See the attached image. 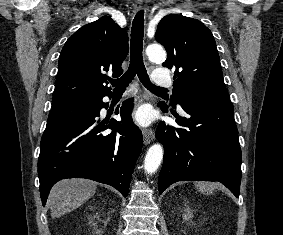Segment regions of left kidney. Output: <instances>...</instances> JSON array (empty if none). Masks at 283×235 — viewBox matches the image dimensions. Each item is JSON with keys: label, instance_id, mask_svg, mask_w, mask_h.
Segmentation results:
<instances>
[{"label": "left kidney", "instance_id": "obj_1", "mask_svg": "<svg viewBox=\"0 0 283 235\" xmlns=\"http://www.w3.org/2000/svg\"><path fill=\"white\" fill-rule=\"evenodd\" d=\"M190 217H191V214L190 215L189 214L188 215H184V219L185 220H188Z\"/></svg>", "mask_w": 283, "mask_h": 235}]
</instances>
